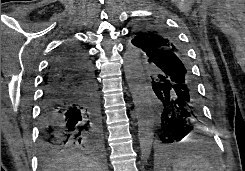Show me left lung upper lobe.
<instances>
[{"mask_svg":"<svg viewBox=\"0 0 245 171\" xmlns=\"http://www.w3.org/2000/svg\"><path fill=\"white\" fill-rule=\"evenodd\" d=\"M130 37L131 43L140 48L147 59L167 51L184 57L177 37L160 22H140L134 27Z\"/></svg>","mask_w":245,"mask_h":171,"instance_id":"obj_1","label":"left lung upper lobe"}]
</instances>
